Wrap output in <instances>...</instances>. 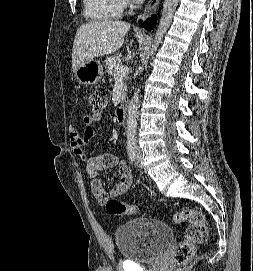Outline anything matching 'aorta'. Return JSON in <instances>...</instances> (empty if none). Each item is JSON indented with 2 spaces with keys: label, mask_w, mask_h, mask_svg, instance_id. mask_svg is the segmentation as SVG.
<instances>
[{
  "label": "aorta",
  "mask_w": 253,
  "mask_h": 271,
  "mask_svg": "<svg viewBox=\"0 0 253 271\" xmlns=\"http://www.w3.org/2000/svg\"><path fill=\"white\" fill-rule=\"evenodd\" d=\"M179 0H164L161 18L159 21V25L157 31L155 33L154 41L149 51V56L153 57L159 44L162 41L164 34L169 29L174 13L178 6ZM139 92L140 89L137 88L128 104V115L126 121V135L128 140H135L137 135V116H138V103H139Z\"/></svg>",
  "instance_id": "1"
}]
</instances>
